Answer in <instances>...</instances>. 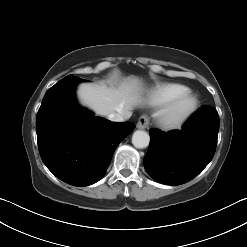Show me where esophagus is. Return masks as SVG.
<instances>
[{"label": "esophagus", "mask_w": 247, "mask_h": 247, "mask_svg": "<svg viewBox=\"0 0 247 247\" xmlns=\"http://www.w3.org/2000/svg\"><path fill=\"white\" fill-rule=\"evenodd\" d=\"M148 125H149L148 117L145 115L141 116L137 122V128L143 130L146 129Z\"/></svg>", "instance_id": "1"}]
</instances>
